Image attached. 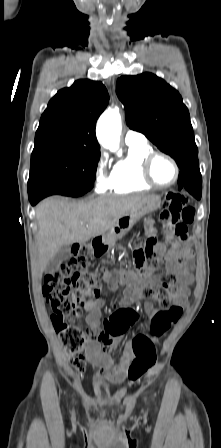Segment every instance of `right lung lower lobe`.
Here are the masks:
<instances>
[{"mask_svg": "<svg viewBox=\"0 0 221 448\" xmlns=\"http://www.w3.org/2000/svg\"><path fill=\"white\" fill-rule=\"evenodd\" d=\"M86 193V192H85ZM85 193H70L67 192L61 188H58L56 186L50 185V184H37L33 186H28V196L29 201L31 205H36L41 199L53 195V194H60L65 196H72V197H78Z\"/></svg>", "mask_w": 221, "mask_h": 448, "instance_id": "obj_1", "label": "right lung lower lobe"}]
</instances>
